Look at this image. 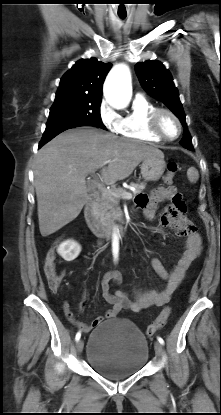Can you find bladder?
Segmentation results:
<instances>
[{"instance_id":"31cf9c89","label":"bladder","mask_w":221,"mask_h":415,"mask_svg":"<svg viewBox=\"0 0 221 415\" xmlns=\"http://www.w3.org/2000/svg\"><path fill=\"white\" fill-rule=\"evenodd\" d=\"M86 357L97 373L118 380L139 372L145 366L149 345L133 322L113 318L99 324L90 333Z\"/></svg>"}]
</instances>
